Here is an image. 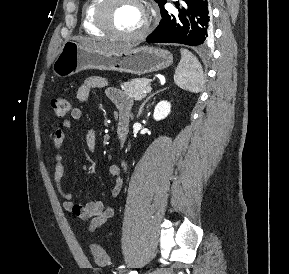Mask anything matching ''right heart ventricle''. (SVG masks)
<instances>
[{"mask_svg": "<svg viewBox=\"0 0 289 274\" xmlns=\"http://www.w3.org/2000/svg\"><path fill=\"white\" fill-rule=\"evenodd\" d=\"M101 0H87L82 11V26L86 33L104 37L106 34L101 31L95 23V10Z\"/></svg>", "mask_w": 289, "mask_h": 274, "instance_id": "1", "label": "right heart ventricle"}]
</instances>
